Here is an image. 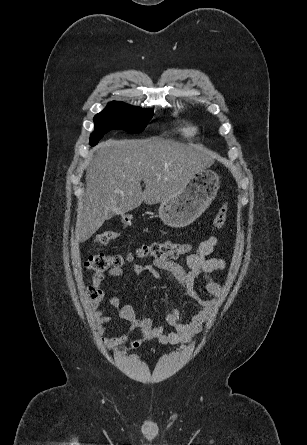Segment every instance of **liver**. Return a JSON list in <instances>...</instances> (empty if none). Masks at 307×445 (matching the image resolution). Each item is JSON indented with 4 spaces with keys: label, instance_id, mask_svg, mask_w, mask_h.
<instances>
[{
    "label": "liver",
    "instance_id": "6515ba94",
    "mask_svg": "<svg viewBox=\"0 0 307 445\" xmlns=\"http://www.w3.org/2000/svg\"><path fill=\"white\" fill-rule=\"evenodd\" d=\"M93 150L75 229L80 243L102 227L110 212L123 214L142 202L157 204L164 198H174L195 172L214 162V154L203 146L156 136L109 138ZM141 180L146 184L144 190Z\"/></svg>",
    "mask_w": 307,
    "mask_h": 445
}]
</instances>
